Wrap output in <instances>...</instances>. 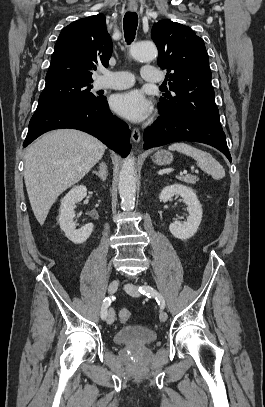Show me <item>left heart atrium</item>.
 <instances>
[{"label": "left heart atrium", "instance_id": "obj_1", "mask_svg": "<svg viewBox=\"0 0 265 407\" xmlns=\"http://www.w3.org/2000/svg\"><path fill=\"white\" fill-rule=\"evenodd\" d=\"M111 107L117 114L133 122L145 120L152 110L151 103L138 90L113 96Z\"/></svg>", "mask_w": 265, "mask_h": 407}]
</instances>
